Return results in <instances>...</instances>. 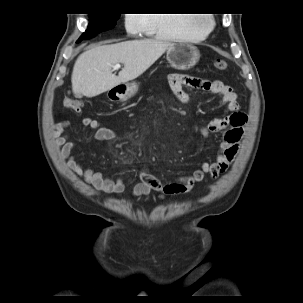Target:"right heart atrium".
<instances>
[{
  "instance_id": "obj_1",
  "label": "right heart atrium",
  "mask_w": 303,
  "mask_h": 303,
  "mask_svg": "<svg viewBox=\"0 0 303 303\" xmlns=\"http://www.w3.org/2000/svg\"><path fill=\"white\" fill-rule=\"evenodd\" d=\"M125 19L126 29L132 33L137 34L145 30L146 28V16L145 14H127Z\"/></svg>"
}]
</instances>
